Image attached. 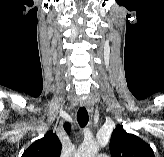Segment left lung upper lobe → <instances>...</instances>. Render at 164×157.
<instances>
[{"label":"left lung upper lobe","mask_w":164,"mask_h":157,"mask_svg":"<svg viewBox=\"0 0 164 157\" xmlns=\"http://www.w3.org/2000/svg\"><path fill=\"white\" fill-rule=\"evenodd\" d=\"M111 157H155L150 145L118 125L110 140Z\"/></svg>","instance_id":"5c2ea615"}]
</instances>
